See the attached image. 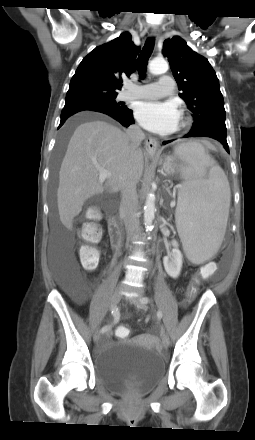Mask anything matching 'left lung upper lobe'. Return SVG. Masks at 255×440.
Instances as JSON below:
<instances>
[{
  "label": "left lung upper lobe",
  "mask_w": 255,
  "mask_h": 440,
  "mask_svg": "<svg viewBox=\"0 0 255 440\" xmlns=\"http://www.w3.org/2000/svg\"><path fill=\"white\" fill-rule=\"evenodd\" d=\"M163 55L182 91L180 97L192 112L191 130L217 127L226 130L224 99L219 80L208 60L194 52L179 36L164 41Z\"/></svg>",
  "instance_id": "left-lung-upper-lobe-1"
}]
</instances>
